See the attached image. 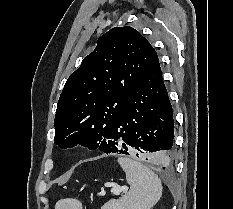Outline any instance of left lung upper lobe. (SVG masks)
Segmentation results:
<instances>
[{"label": "left lung upper lobe", "instance_id": "1", "mask_svg": "<svg viewBox=\"0 0 233 209\" xmlns=\"http://www.w3.org/2000/svg\"><path fill=\"white\" fill-rule=\"evenodd\" d=\"M156 56L148 40L130 26L102 35L63 88L54 120V143L61 148L81 143L101 150L111 124Z\"/></svg>", "mask_w": 233, "mask_h": 209}]
</instances>
